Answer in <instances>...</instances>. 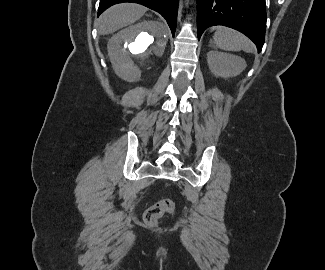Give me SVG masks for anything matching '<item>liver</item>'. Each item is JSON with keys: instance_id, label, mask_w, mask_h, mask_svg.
Returning a JSON list of instances; mask_svg holds the SVG:
<instances>
[{"instance_id": "6515ba94", "label": "liver", "mask_w": 325, "mask_h": 270, "mask_svg": "<svg viewBox=\"0 0 325 270\" xmlns=\"http://www.w3.org/2000/svg\"><path fill=\"white\" fill-rule=\"evenodd\" d=\"M146 11L144 6L134 3L114 5L98 19V32L101 35L112 34L138 21Z\"/></svg>"}]
</instances>
